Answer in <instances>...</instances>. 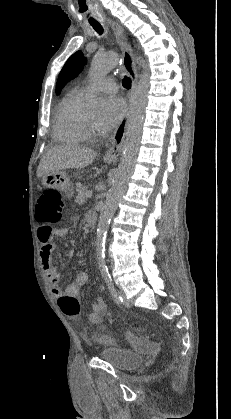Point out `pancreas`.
I'll use <instances>...</instances> for the list:
<instances>
[{"instance_id":"obj_1","label":"pancreas","mask_w":231,"mask_h":419,"mask_svg":"<svg viewBox=\"0 0 231 419\" xmlns=\"http://www.w3.org/2000/svg\"><path fill=\"white\" fill-rule=\"evenodd\" d=\"M76 190H77V196H76V202L79 205H83L84 203H86L87 197L85 195L86 191H87V187L86 186H82L80 183L76 184Z\"/></svg>"}]
</instances>
